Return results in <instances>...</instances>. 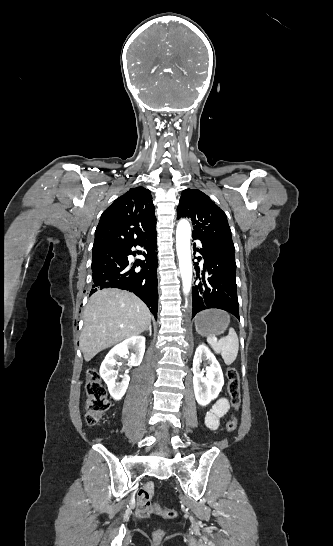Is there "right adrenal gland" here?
<instances>
[{
    "instance_id": "obj_1",
    "label": "right adrenal gland",
    "mask_w": 333,
    "mask_h": 546,
    "mask_svg": "<svg viewBox=\"0 0 333 546\" xmlns=\"http://www.w3.org/2000/svg\"><path fill=\"white\" fill-rule=\"evenodd\" d=\"M146 331H149V336H152V326H151V324L148 326Z\"/></svg>"
}]
</instances>
